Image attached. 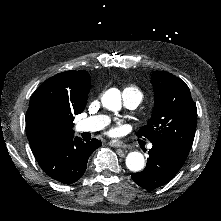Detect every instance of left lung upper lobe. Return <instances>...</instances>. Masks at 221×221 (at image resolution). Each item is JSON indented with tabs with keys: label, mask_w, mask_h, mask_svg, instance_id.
Instances as JSON below:
<instances>
[{
	"label": "left lung upper lobe",
	"mask_w": 221,
	"mask_h": 221,
	"mask_svg": "<svg viewBox=\"0 0 221 221\" xmlns=\"http://www.w3.org/2000/svg\"><path fill=\"white\" fill-rule=\"evenodd\" d=\"M155 93L152 117L141 127L138 137L162 142L187 158L197 123V108L184 81L165 71H154Z\"/></svg>",
	"instance_id": "5c2ea615"
}]
</instances>
